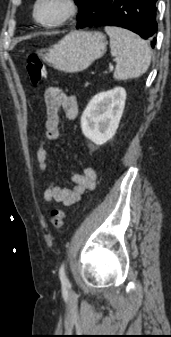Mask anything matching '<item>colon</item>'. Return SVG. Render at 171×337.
<instances>
[{
	"label": "colon",
	"instance_id": "colon-1",
	"mask_svg": "<svg viewBox=\"0 0 171 337\" xmlns=\"http://www.w3.org/2000/svg\"><path fill=\"white\" fill-rule=\"evenodd\" d=\"M26 69L32 84L40 83L46 77V69L39 57L30 55L26 59ZM65 212L62 209H54L51 212L50 222L53 228L59 229L64 222Z\"/></svg>",
	"mask_w": 171,
	"mask_h": 337
}]
</instances>
